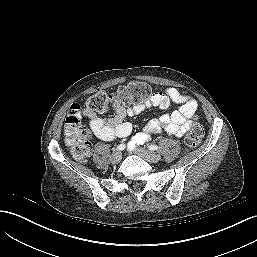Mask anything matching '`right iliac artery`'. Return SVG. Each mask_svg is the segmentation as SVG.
<instances>
[{"label":"right iliac artery","mask_w":257,"mask_h":257,"mask_svg":"<svg viewBox=\"0 0 257 257\" xmlns=\"http://www.w3.org/2000/svg\"><path fill=\"white\" fill-rule=\"evenodd\" d=\"M125 147H126L125 144H120V145L117 146V149L118 150H124Z\"/></svg>","instance_id":"right-iliac-artery-1"}]
</instances>
